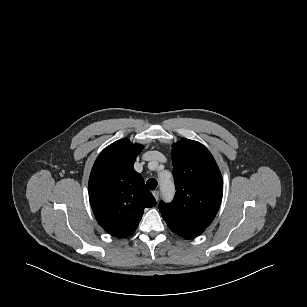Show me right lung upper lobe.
Segmentation results:
<instances>
[{
    "instance_id": "right-lung-upper-lobe-1",
    "label": "right lung upper lobe",
    "mask_w": 307,
    "mask_h": 307,
    "mask_svg": "<svg viewBox=\"0 0 307 307\" xmlns=\"http://www.w3.org/2000/svg\"><path fill=\"white\" fill-rule=\"evenodd\" d=\"M143 146L123 138L106 147L96 159L89 178V199L95 218L110 235L133 234L144 208L156 205L142 176L133 168Z\"/></svg>"
}]
</instances>
